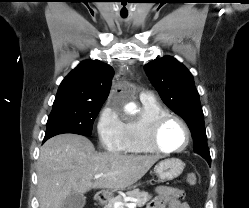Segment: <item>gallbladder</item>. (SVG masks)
<instances>
[{"instance_id": "gallbladder-1", "label": "gallbladder", "mask_w": 249, "mask_h": 208, "mask_svg": "<svg viewBox=\"0 0 249 208\" xmlns=\"http://www.w3.org/2000/svg\"><path fill=\"white\" fill-rule=\"evenodd\" d=\"M86 203V197L83 194L71 192L63 201L62 208H83Z\"/></svg>"}]
</instances>
